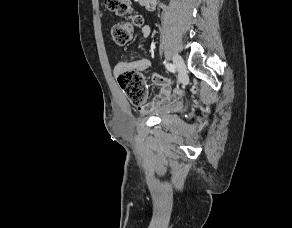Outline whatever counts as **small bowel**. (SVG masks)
<instances>
[{
    "instance_id": "obj_1",
    "label": "small bowel",
    "mask_w": 292,
    "mask_h": 228,
    "mask_svg": "<svg viewBox=\"0 0 292 228\" xmlns=\"http://www.w3.org/2000/svg\"><path fill=\"white\" fill-rule=\"evenodd\" d=\"M141 31L144 37H150L151 27L149 25H144ZM150 65L151 61L147 58L131 57L130 59L121 61L115 65L113 72L116 76L126 70L142 72L145 71ZM151 80L153 83L159 85L160 89L151 102L145 103L139 108L141 113H150L167 107L177 101L184 94L183 89H176L172 92V85L174 81L167 79L158 73H153Z\"/></svg>"
}]
</instances>
